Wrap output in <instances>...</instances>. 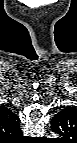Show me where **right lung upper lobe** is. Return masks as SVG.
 <instances>
[{
    "instance_id": "1",
    "label": "right lung upper lobe",
    "mask_w": 77,
    "mask_h": 143,
    "mask_svg": "<svg viewBox=\"0 0 77 143\" xmlns=\"http://www.w3.org/2000/svg\"><path fill=\"white\" fill-rule=\"evenodd\" d=\"M0 130L8 136L21 134L19 118L6 107H0Z\"/></svg>"
}]
</instances>
